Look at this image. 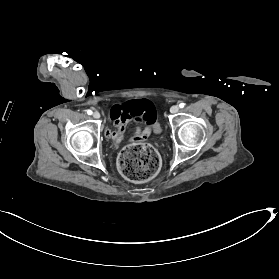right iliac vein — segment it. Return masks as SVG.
<instances>
[{"label": "right iliac vein", "mask_w": 279, "mask_h": 279, "mask_svg": "<svg viewBox=\"0 0 279 279\" xmlns=\"http://www.w3.org/2000/svg\"><path fill=\"white\" fill-rule=\"evenodd\" d=\"M93 117H94L95 119H99V118H100V113L97 112V111H95V112L93 113Z\"/></svg>", "instance_id": "right-iliac-vein-1"}]
</instances>
